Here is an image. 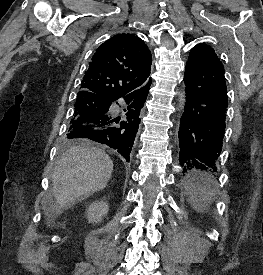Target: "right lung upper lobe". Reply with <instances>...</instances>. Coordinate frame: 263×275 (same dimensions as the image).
<instances>
[{
	"label": "right lung upper lobe",
	"mask_w": 263,
	"mask_h": 275,
	"mask_svg": "<svg viewBox=\"0 0 263 275\" xmlns=\"http://www.w3.org/2000/svg\"><path fill=\"white\" fill-rule=\"evenodd\" d=\"M151 64V52L142 39L115 35L94 53L78 96L93 94L107 101L129 96L151 82Z\"/></svg>",
	"instance_id": "right-lung-upper-lobe-1"
}]
</instances>
